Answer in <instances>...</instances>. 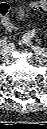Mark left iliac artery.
<instances>
[{"label": "left iliac artery", "instance_id": "obj_1", "mask_svg": "<svg viewBox=\"0 0 47 129\" xmlns=\"http://www.w3.org/2000/svg\"><path fill=\"white\" fill-rule=\"evenodd\" d=\"M31 35H34V31L31 33Z\"/></svg>", "mask_w": 47, "mask_h": 129}]
</instances>
